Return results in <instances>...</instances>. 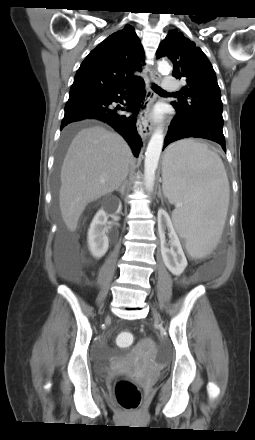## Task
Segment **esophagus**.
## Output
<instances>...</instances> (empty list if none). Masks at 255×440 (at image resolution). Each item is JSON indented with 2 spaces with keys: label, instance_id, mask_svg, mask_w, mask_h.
<instances>
[{
  "label": "esophagus",
  "instance_id": "obj_1",
  "mask_svg": "<svg viewBox=\"0 0 255 440\" xmlns=\"http://www.w3.org/2000/svg\"><path fill=\"white\" fill-rule=\"evenodd\" d=\"M160 74L151 68L150 70V79L151 82H159ZM157 100L154 92L151 89V86H148L146 92V98L143 103L140 105L139 114L137 118V129L142 139H146L150 136L152 131L154 130V123L150 118L151 106Z\"/></svg>",
  "mask_w": 255,
  "mask_h": 440
}]
</instances>
